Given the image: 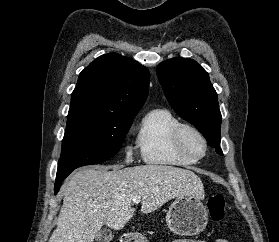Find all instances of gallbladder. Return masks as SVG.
<instances>
[{"label": "gallbladder", "instance_id": "obj_1", "mask_svg": "<svg viewBox=\"0 0 279 242\" xmlns=\"http://www.w3.org/2000/svg\"><path fill=\"white\" fill-rule=\"evenodd\" d=\"M112 238H113V234L107 228L100 230L95 237L97 242H110Z\"/></svg>", "mask_w": 279, "mask_h": 242}]
</instances>
